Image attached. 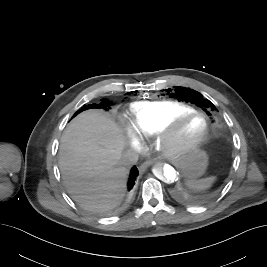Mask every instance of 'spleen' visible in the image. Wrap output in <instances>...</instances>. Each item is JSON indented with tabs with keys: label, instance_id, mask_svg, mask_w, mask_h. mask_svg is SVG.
I'll use <instances>...</instances> for the list:
<instances>
[{
	"label": "spleen",
	"instance_id": "spleen-1",
	"mask_svg": "<svg viewBox=\"0 0 267 267\" xmlns=\"http://www.w3.org/2000/svg\"><path fill=\"white\" fill-rule=\"evenodd\" d=\"M214 180H215L214 176L202 178L199 180L192 179V180L187 181V185L190 188L195 189V190H204V189L209 188L212 185V183L214 182Z\"/></svg>",
	"mask_w": 267,
	"mask_h": 267
}]
</instances>
